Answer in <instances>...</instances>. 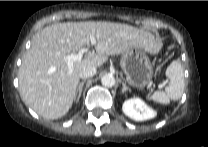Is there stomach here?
Segmentation results:
<instances>
[{
    "label": "stomach",
    "instance_id": "1",
    "mask_svg": "<svg viewBox=\"0 0 208 147\" xmlns=\"http://www.w3.org/2000/svg\"><path fill=\"white\" fill-rule=\"evenodd\" d=\"M129 83L138 88L145 87L152 79L153 66L144 49L133 47L125 52L120 61Z\"/></svg>",
    "mask_w": 208,
    "mask_h": 147
}]
</instances>
